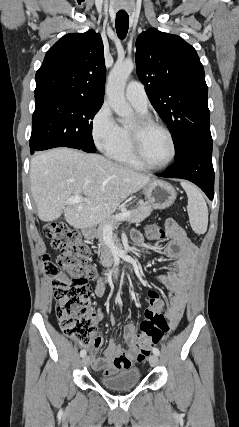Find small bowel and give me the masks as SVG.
<instances>
[{
    "mask_svg": "<svg viewBox=\"0 0 239 427\" xmlns=\"http://www.w3.org/2000/svg\"><path fill=\"white\" fill-rule=\"evenodd\" d=\"M160 230L162 229L160 228ZM166 235L169 241L164 247V253L173 260V263L170 272L159 276L158 280L172 294L166 310V317L169 323L168 331H171L178 325L185 309L197 247L187 237L183 228L173 219L167 221ZM131 240L137 247L143 245V237L137 231L132 232ZM105 289L106 281L98 279L94 290L95 295L102 297ZM94 317L96 321L107 319L114 323V316L102 311L100 308L94 313ZM136 336V325L134 323L126 324L123 340L127 348L122 347L111 339L108 342L104 357L96 356V351L104 344L103 338L101 336H93V345L90 348L92 367L102 371L105 375H112L120 370L130 368L133 362L138 360L135 349Z\"/></svg>",
    "mask_w": 239,
    "mask_h": 427,
    "instance_id": "obj_1",
    "label": "small bowel"
}]
</instances>
